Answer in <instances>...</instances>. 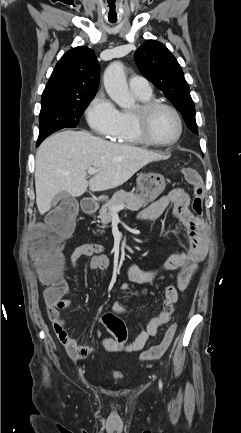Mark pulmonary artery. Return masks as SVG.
I'll return each mask as SVG.
<instances>
[{
  "label": "pulmonary artery",
  "instance_id": "e3ab8cb5",
  "mask_svg": "<svg viewBox=\"0 0 241 433\" xmlns=\"http://www.w3.org/2000/svg\"><path fill=\"white\" fill-rule=\"evenodd\" d=\"M129 85L134 93L141 95L152 94V88L149 81L142 76H133L129 80Z\"/></svg>",
  "mask_w": 241,
  "mask_h": 433
}]
</instances>
